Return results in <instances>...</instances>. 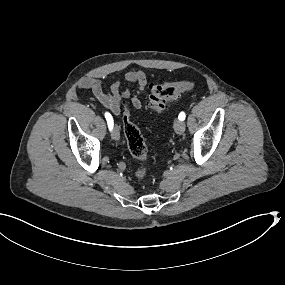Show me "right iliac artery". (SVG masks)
<instances>
[{
    "instance_id": "1",
    "label": "right iliac artery",
    "mask_w": 285,
    "mask_h": 285,
    "mask_svg": "<svg viewBox=\"0 0 285 285\" xmlns=\"http://www.w3.org/2000/svg\"><path fill=\"white\" fill-rule=\"evenodd\" d=\"M105 118L107 120V124H108L109 130H112V128H113V118H112L111 114L106 112L105 113Z\"/></svg>"
}]
</instances>
